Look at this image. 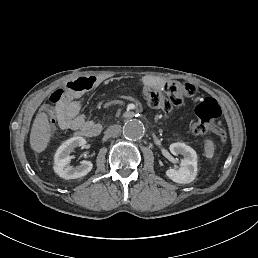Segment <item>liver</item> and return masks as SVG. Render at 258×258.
<instances>
[{"label": "liver", "instance_id": "1", "mask_svg": "<svg viewBox=\"0 0 258 258\" xmlns=\"http://www.w3.org/2000/svg\"><path fill=\"white\" fill-rule=\"evenodd\" d=\"M49 123L45 113L38 114L33 123L30 136V144L33 150L41 153L47 146L50 138Z\"/></svg>", "mask_w": 258, "mask_h": 258}]
</instances>
